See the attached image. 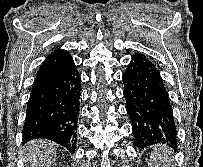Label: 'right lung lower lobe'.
<instances>
[{
	"label": "right lung lower lobe",
	"mask_w": 203,
	"mask_h": 167,
	"mask_svg": "<svg viewBox=\"0 0 203 167\" xmlns=\"http://www.w3.org/2000/svg\"><path fill=\"white\" fill-rule=\"evenodd\" d=\"M81 79L73 59L53 77L33 85L23 142L49 139L75 152Z\"/></svg>",
	"instance_id": "obj_1"
}]
</instances>
